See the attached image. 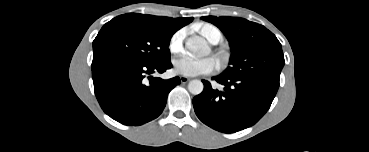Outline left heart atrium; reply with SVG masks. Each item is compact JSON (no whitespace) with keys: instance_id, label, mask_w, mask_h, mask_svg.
<instances>
[{"instance_id":"39dd6f15","label":"left heart atrium","mask_w":369,"mask_h":152,"mask_svg":"<svg viewBox=\"0 0 369 152\" xmlns=\"http://www.w3.org/2000/svg\"><path fill=\"white\" fill-rule=\"evenodd\" d=\"M173 64L178 74L189 77L208 74L216 68V61L212 57L193 58L185 55L176 59Z\"/></svg>"}]
</instances>
